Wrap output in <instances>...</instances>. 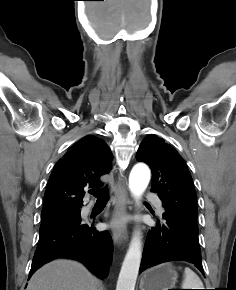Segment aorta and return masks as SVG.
Wrapping results in <instances>:
<instances>
[{
	"instance_id": "obj_1",
	"label": "aorta",
	"mask_w": 236,
	"mask_h": 290,
	"mask_svg": "<svg viewBox=\"0 0 236 290\" xmlns=\"http://www.w3.org/2000/svg\"><path fill=\"white\" fill-rule=\"evenodd\" d=\"M150 181V170L144 164L133 167L129 176V189L138 201ZM142 257V240L140 232L136 231L124 258L118 277L116 290H134Z\"/></svg>"
}]
</instances>
